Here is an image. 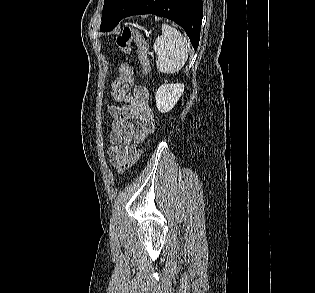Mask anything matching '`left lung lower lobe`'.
<instances>
[{
    "label": "left lung lower lobe",
    "instance_id": "obj_1",
    "mask_svg": "<svg viewBox=\"0 0 315 293\" xmlns=\"http://www.w3.org/2000/svg\"><path fill=\"white\" fill-rule=\"evenodd\" d=\"M141 14H155L173 20L185 30L194 49H197L203 14L202 0H139L125 17Z\"/></svg>",
    "mask_w": 315,
    "mask_h": 293
}]
</instances>
